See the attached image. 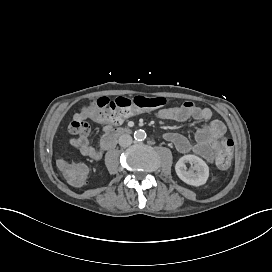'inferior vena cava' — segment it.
Returning a JSON list of instances; mask_svg holds the SVG:
<instances>
[{"label": "inferior vena cava", "instance_id": "1", "mask_svg": "<svg viewBox=\"0 0 272 272\" xmlns=\"http://www.w3.org/2000/svg\"><path fill=\"white\" fill-rule=\"evenodd\" d=\"M132 136L129 135V134H122L120 137H119V145L122 146V147H128L132 144Z\"/></svg>", "mask_w": 272, "mask_h": 272}]
</instances>
